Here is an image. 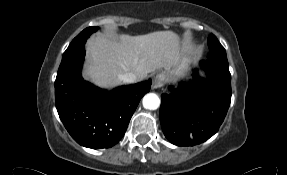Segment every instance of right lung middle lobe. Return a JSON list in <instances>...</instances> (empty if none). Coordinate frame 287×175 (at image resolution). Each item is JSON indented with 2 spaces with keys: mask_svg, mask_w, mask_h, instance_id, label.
<instances>
[{
  "mask_svg": "<svg viewBox=\"0 0 287 175\" xmlns=\"http://www.w3.org/2000/svg\"><path fill=\"white\" fill-rule=\"evenodd\" d=\"M98 27H88L85 30H83L79 35H77L73 41L70 43L69 47L75 45L76 43L81 42V39L84 37H89L93 32L97 31ZM68 47V48H69Z\"/></svg>",
  "mask_w": 287,
  "mask_h": 175,
  "instance_id": "obj_1",
  "label": "right lung middle lobe"
}]
</instances>
